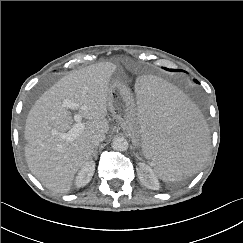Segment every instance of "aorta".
<instances>
[{"instance_id":"1","label":"aorta","mask_w":243,"mask_h":243,"mask_svg":"<svg viewBox=\"0 0 243 243\" xmlns=\"http://www.w3.org/2000/svg\"><path fill=\"white\" fill-rule=\"evenodd\" d=\"M128 145V141L124 137H116L112 141V148L116 151H126Z\"/></svg>"}]
</instances>
